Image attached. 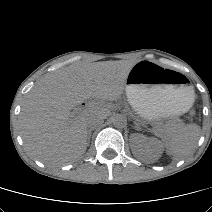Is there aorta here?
Listing matches in <instances>:
<instances>
[{
    "mask_svg": "<svg viewBox=\"0 0 212 212\" xmlns=\"http://www.w3.org/2000/svg\"><path fill=\"white\" fill-rule=\"evenodd\" d=\"M112 123L116 128H124L127 124V119L122 114H116L112 118Z\"/></svg>",
    "mask_w": 212,
    "mask_h": 212,
    "instance_id": "obj_1",
    "label": "aorta"
}]
</instances>
